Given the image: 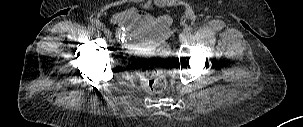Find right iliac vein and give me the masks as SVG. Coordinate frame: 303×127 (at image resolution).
Segmentation results:
<instances>
[{
	"mask_svg": "<svg viewBox=\"0 0 303 127\" xmlns=\"http://www.w3.org/2000/svg\"><path fill=\"white\" fill-rule=\"evenodd\" d=\"M103 32L107 37H111V32L108 29L104 28Z\"/></svg>",
	"mask_w": 303,
	"mask_h": 127,
	"instance_id": "right-iliac-vein-1",
	"label": "right iliac vein"
}]
</instances>
